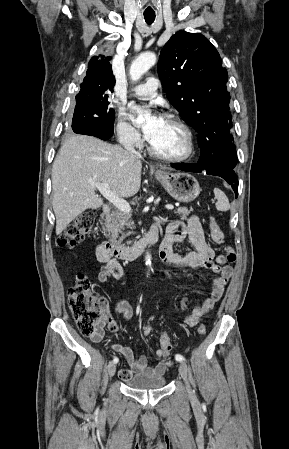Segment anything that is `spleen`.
Here are the masks:
<instances>
[{
  "mask_svg": "<svg viewBox=\"0 0 289 449\" xmlns=\"http://www.w3.org/2000/svg\"><path fill=\"white\" fill-rule=\"evenodd\" d=\"M214 195L217 199L216 208L219 211H228L230 209V204L227 196L219 188H214Z\"/></svg>",
  "mask_w": 289,
  "mask_h": 449,
  "instance_id": "obj_1",
  "label": "spleen"
}]
</instances>
